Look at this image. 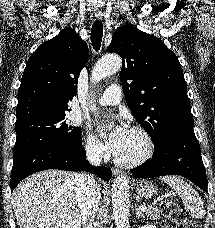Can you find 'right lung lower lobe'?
Wrapping results in <instances>:
<instances>
[{
	"instance_id": "right-lung-lower-lobe-1",
	"label": "right lung lower lobe",
	"mask_w": 215,
	"mask_h": 228,
	"mask_svg": "<svg viewBox=\"0 0 215 228\" xmlns=\"http://www.w3.org/2000/svg\"><path fill=\"white\" fill-rule=\"evenodd\" d=\"M85 157V149L82 146L60 143H44L19 151L14 154L10 180L11 192L25 177L47 169L89 171L103 180L111 178L110 168L91 166Z\"/></svg>"
}]
</instances>
